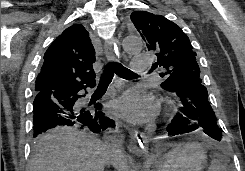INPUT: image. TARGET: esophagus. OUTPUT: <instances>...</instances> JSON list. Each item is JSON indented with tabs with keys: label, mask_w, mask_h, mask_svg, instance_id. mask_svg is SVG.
Masks as SVG:
<instances>
[{
	"label": "esophagus",
	"mask_w": 245,
	"mask_h": 171,
	"mask_svg": "<svg viewBox=\"0 0 245 171\" xmlns=\"http://www.w3.org/2000/svg\"><path fill=\"white\" fill-rule=\"evenodd\" d=\"M105 54L107 59L110 62H115L116 52L113 48V45L110 41H106L104 44ZM130 136L132 139V143L130 145V150L137 154H145L148 155V138L144 133H138L137 131L131 130Z\"/></svg>",
	"instance_id": "34e87169"
}]
</instances>
